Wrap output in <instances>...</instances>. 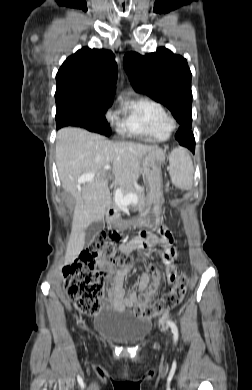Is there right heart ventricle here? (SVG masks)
Segmentation results:
<instances>
[{
  "mask_svg": "<svg viewBox=\"0 0 252 390\" xmlns=\"http://www.w3.org/2000/svg\"><path fill=\"white\" fill-rule=\"evenodd\" d=\"M117 130L122 135L138 137L150 142L166 140L170 131L166 125L167 112L158 102L138 98L124 104Z\"/></svg>",
  "mask_w": 252,
  "mask_h": 390,
  "instance_id": "obj_1",
  "label": "right heart ventricle"
}]
</instances>
